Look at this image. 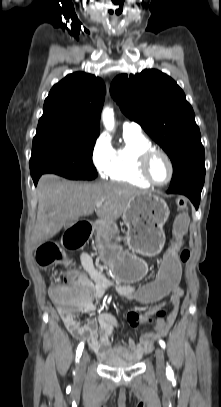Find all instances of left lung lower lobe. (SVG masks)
I'll use <instances>...</instances> for the list:
<instances>
[{
    "mask_svg": "<svg viewBox=\"0 0 221 407\" xmlns=\"http://www.w3.org/2000/svg\"><path fill=\"white\" fill-rule=\"evenodd\" d=\"M205 179V166H199L191 169L178 180L170 183L167 190L168 194H183L187 196L195 208L198 209L200 202V195L203 188Z\"/></svg>",
    "mask_w": 221,
    "mask_h": 407,
    "instance_id": "obj_1",
    "label": "left lung lower lobe"
}]
</instances>
